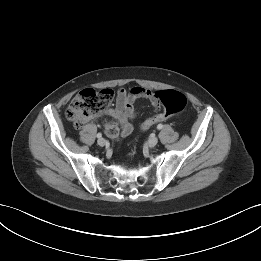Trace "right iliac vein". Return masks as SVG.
I'll return each mask as SVG.
<instances>
[{
	"instance_id": "63e3f726",
	"label": "right iliac vein",
	"mask_w": 261,
	"mask_h": 261,
	"mask_svg": "<svg viewBox=\"0 0 261 261\" xmlns=\"http://www.w3.org/2000/svg\"><path fill=\"white\" fill-rule=\"evenodd\" d=\"M97 143L99 146L103 147L105 145L106 141L104 138H99Z\"/></svg>"
}]
</instances>
